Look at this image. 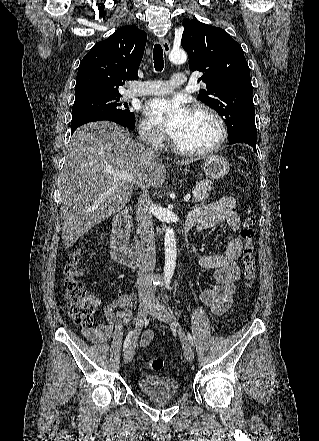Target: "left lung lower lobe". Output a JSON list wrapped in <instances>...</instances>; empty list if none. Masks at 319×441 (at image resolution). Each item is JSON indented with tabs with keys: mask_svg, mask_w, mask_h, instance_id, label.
<instances>
[{
	"mask_svg": "<svg viewBox=\"0 0 319 441\" xmlns=\"http://www.w3.org/2000/svg\"><path fill=\"white\" fill-rule=\"evenodd\" d=\"M256 140H257L256 137L248 136V135H244V136H241V137H238V138H234V139L229 140V143H230V144H234V143H246V144L252 146V147H253V150L257 153V151H256Z\"/></svg>",
	"mask_w": 319,
	"mask_h": 441,
	"instance_id": "0a47b994",
	"label": "left lung lower lobe"
}]
</instances>
